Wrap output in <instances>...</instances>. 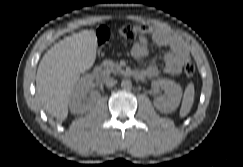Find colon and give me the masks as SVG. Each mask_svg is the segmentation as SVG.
I'll use <instances>...</instances> for the list:
<instances>
[{
    "label": "colon",
    "mask_w": 243,
    "mask_h": 167,
    "mask_svg": "<svg viewBox=\"0 0 243 167\" xmlns=\"http://www.w3.org/2000/svg\"><path fill=\"white\" fill-rule=\"evenodd\" d=\"M118 33L126 40H137L147 38L150 35L149 28L144 24H126L118 29ZM97 37L100 43L106 42L110 37V32L106 27H101L97 31ZM196 67L193 61H188L184 66V73L187 77H192Z\"/></svg>",
    "instance_id": "5ec220e1"
}]
</instances>
